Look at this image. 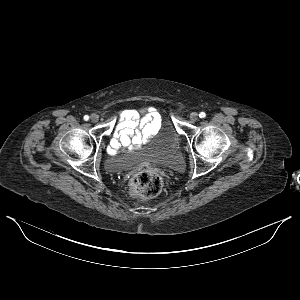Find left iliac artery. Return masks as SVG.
<instances>
[{
  "instance_id": "1",
  "label": "left iliac artery",
  "mask_w": 300,
  "mask_h": 300,
  "mask_svg": "<svg viewBox=\"0 0 300 300\" xmlns=\"http://www.w3.org/2000/svg\"><path fill=\"white\" fill-rule=\"evenodd\" d=\"M199 117H200V118H205V117H206L205 112H200Z\"/></svg>"
}]
</instances>
